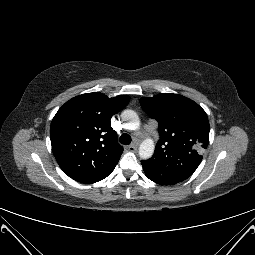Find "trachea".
I'll use <instances>...</instances> for the list:
<instances>
[{"mask_svg": "<svg viewBox=\"0 0 255 255\" xmlns=\"http://www.w3.org/2000/svg\"><path fill=\"white\" fill-rule=\"evenodd\" d=\"M119 142L124 145H129L131 143V137L130 135L124 133L120 136Z\"/></svg>", "mask_w": 255, "mask_h": 255, "instance_id": "trachea-1", "label": "trachea"}]
</instances>
